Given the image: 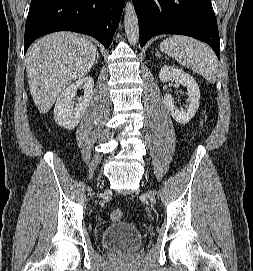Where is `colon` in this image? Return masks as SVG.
I'll return each mask as SVG.
<instances>
[{"instance_id":"5ec220e1","label":"colon","mask_w":253,"mask_h":271,"mask_svg":"<svg viewBox=\"0 0 253 271\" xmlns=\"http://www.w3.org/2000/svg\"><path fill=\"white\" fill-rule=\"evenodd\" d=\"M122 217H123V213L119 209H115L110 212V218L113 221H120Z\"/></svg>"}]
</instances>
